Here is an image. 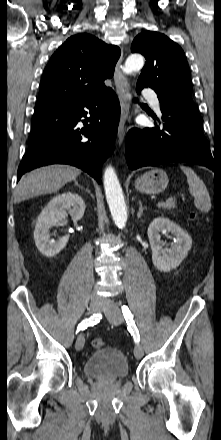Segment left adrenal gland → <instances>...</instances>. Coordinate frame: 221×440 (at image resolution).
Returning a JSON list of instances; mask_svg holds the SVG:
<instances>
[{"label":"left adrenal gland","instance_id":"1","mask_svg":"<svg viewBox=\"0 0 221 440\" xmlns=\"http://www.w3.org/2000/svg\"><path fill=\"white\" fill-rule=\"evenodd\" d=\"M146 209V207H143L142 206V202L139 200V211H138V213H137V217L138 218H141V216H142V214H143V211Z\"/></svg>","mask_w":221,"mask_h":440}]
</instances>
